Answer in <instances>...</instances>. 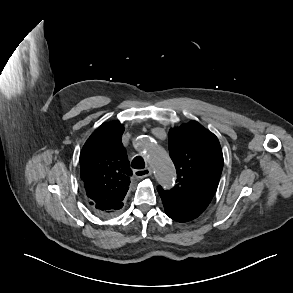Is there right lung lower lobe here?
<instances>
[{"mask_svg": "<svg viewBox=\"0 0 293 293\" xmlns=\"http://www.w3.org/2000/svg\"><path fill=\"white\" fill-rule=\"evenodd\" d=\"M99 214L102 215V216H109V215H111L112 213H101V212H99Z\"/></svg>", "mask_w": 293, "mask_h": 293, "instance_id": "98d812e1", "label": "right lung lower lobe"}]
</instances>
